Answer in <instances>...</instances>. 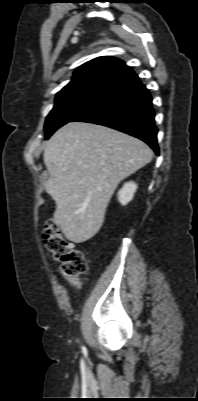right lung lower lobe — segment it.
Listing matches in <instances>:
<instances>
[{
  "label": "right lung lower lobe",
  "instance_id": "1",
  "mask_svg": "<svg viewBox=\"0 0 198 401\" xmlns=\"http://www.w3.org/2000/svg\"><path fill=\"white\" fill-rule=\"evenodd\" d=\"M152 98L136 74L113 87L103 101L76 121L104 125L146 142L157 155Z\"/></svg>",
  "mask_w": 198,
  "mask_h": 401
}]
</instances>
